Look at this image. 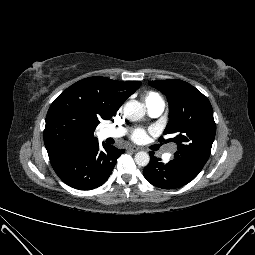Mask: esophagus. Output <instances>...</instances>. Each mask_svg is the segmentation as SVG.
I'll return each mask as SVG.
<instances>
[{
	"label": "esophagus",
	"instance_id": "esophagus-1",
	"mask_svg": "<svg viewBox=\"0 0 255 255\" xmlns=\"http://www.w3.org/2000/svg\"><path fill=\"white\" fill-rule=\"evenodd\" d=\"M128 151H131V152H137L139 151V148L138 147H134V146H130L127 148Z\"/></svg>",
	"mask_w": 255,
	"mask_h": 255
}]
</instances>
